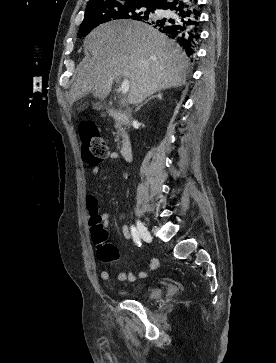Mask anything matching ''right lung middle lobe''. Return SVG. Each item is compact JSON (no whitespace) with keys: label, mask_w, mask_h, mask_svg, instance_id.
<instances>
[{"label":"right lung middle lobe","mask_w":276,"mask_h":363,"mask_svg":"<svg viewBox=\"0 0 276 363\" xmlns=\"http://www.w3.org/2000/svg\"><path fill=\"white\" fill-rule=\"evenodd\" d=\"M155 9L144 2L128 0H103L92 3L85 10L78 35L83 37L98 25L116 19L144 21Z\"/></svg>","instance_id":"1"}]
</instances>
